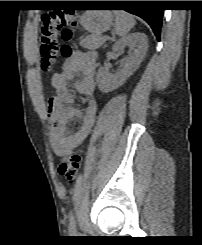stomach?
<instances>
[{
	"mask_svg": "<svg viewBox=\"0 0 202 245\" xmlns=\"http://www.w3.org/2000/svg\"><path fill=\"white\" fill-rule=\"evenodd\" d=\"M79 22L88 32L100 35L113 24V14L108 10H88L80 16Z\"/></svg>",
	"mask_w": 202,
	"mask_h": 245,
	"instance_id": "0dacf381",
	"label": "stomach"
}]
</instances>
